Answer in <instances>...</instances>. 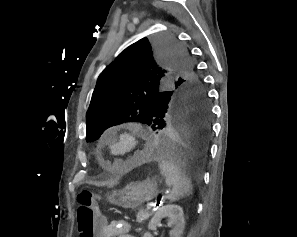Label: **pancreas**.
<instances>
[{
  "mask_svg": "<svg viewBox=\"0 0 297 237\" xmlns=\"http://www.w3.org/2000/svg\"><path fill=\"white\" fill-rule=\"evenodd\" d=\"M152 213L148 212L146 209H140L136 215V220L138 223H142L147 220Z\"/></svg>",
  "mask_w": 297,
  "mask_h": 237,
  "instance_id": "pancreas-1",
  "label": "pancreas"
}]
</instances>
